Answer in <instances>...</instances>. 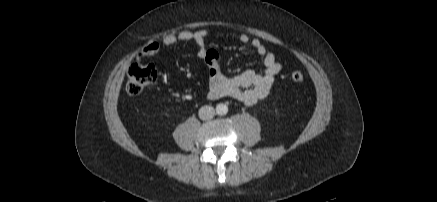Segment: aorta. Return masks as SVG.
I'll return each instance as SVG.
<instances>
[{
  "mask_svg": "<svg viewBox=\"0 0 437 202\" xmlns=\"http://www.w3.org/2000/svg\"><path fill=\"white\" fill-rule=\"evenodd\" d=\"M228 112V106L226 104L220 103L216 106V113L218 115H225Z\"/></svg>",
  "mask_w": 437,
  "mask_h": 202,
  "instance_id": "762f6f07",
  "label": "aorta"
}]
</instances>
